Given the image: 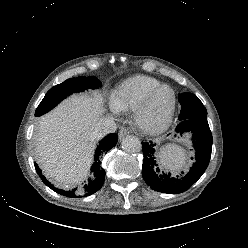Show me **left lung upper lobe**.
<instances>
[{
    "label": "left lung upper lobe",
    "instance_id": "1",
    "mask_svg": "<svg viewBox=\"0 0 248 248\" xmlns=\"http://www.w3.org/2000/svg\"><path fill=\"white\" fill-rule=\"evenodd\" d=\"M178 100L181 104V113L179 117L191 118L201 114H207V110L203 106L198 97L191 93H182Z\"/></svg>",
    "mask_w": 248,
    "mask_h": 248
}]
</instances>
